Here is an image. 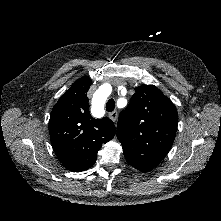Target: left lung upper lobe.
Here are the masks:
<instances>
[{"label": "left lung upper lobe", "mask_w": 221, "mask_h": 221, "mask_svg": "<svg viewBox=\"0 0 221 221\" xmlns=\"http://www.w3.org/2000/svg\"><path fill=\"white\" fill-rule=\"evenodd\" d=\"M177 125L176 107L156 86L136 87L117 126L127 162L142 172L152 170L170 150Z\"/></svg>", "instance_id": "obj_1"}]
</instances>
